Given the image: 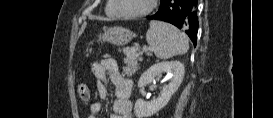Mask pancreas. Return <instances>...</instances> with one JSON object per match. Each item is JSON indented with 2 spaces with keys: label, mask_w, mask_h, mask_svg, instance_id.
Segmentation results:
<instances>
[{
  "label": "pancreas",
  "mask_w": 273,
  "mask_h": 118,
  "mask_svg": "<svg viewBox=\"0 0 273 118\" xmlns=\"http://www.w3.org/2000/svg\"><path fill=\"white\" fill-rule=\"evenodd\" d=\"M125 54L126 66L123 67V72L127 76H132L137 71V60L140 58L141 52L138 47H134L126 50Z\"/></svg>",
  "instance_id": "obj_1"
}]
</instances>
